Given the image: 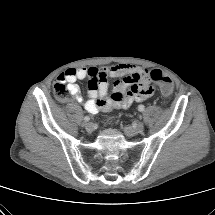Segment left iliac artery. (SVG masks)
Returning <instances> with one entry per match:
<instances>
[{"instance_id": "1", "label": "left iliac artery", "mask_w": 215, "mask_h": 215, "mask_svg": "<svg viewBox=\"0 0 215 215\" xmlns=\"http://www.w3.org/2000/svg\"><path fill=\"white\" fill-rule=\"evenodd\" d=\"M144 109H145L144 105L141 104V105L138 106V110L140 112L144 111Z\"/></svg>"}]
</instances>
